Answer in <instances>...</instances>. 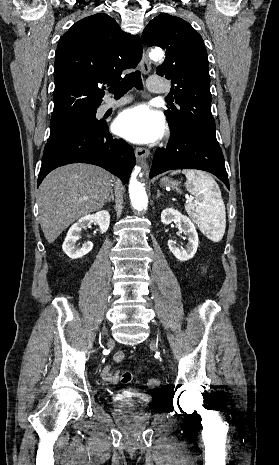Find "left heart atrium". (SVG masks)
Segmentation results:
<instances>
[{
	"label": "left heart atrium",
	"instance_id": "obj_1",
	"mask_svg": "<svg viewBox=\"0 0 279 465\" xmlns=\"http://www.w3.org/2000/svg\"><path fill=\"white\" fill-rule=\"evenodd\" d=\"M163 116L147 105H137L123 111L115 121V131L134 143H152L163 134Z\"/></svg>",
	"mask_w": 279,
	"mask_h": 465
}]
</instances>
